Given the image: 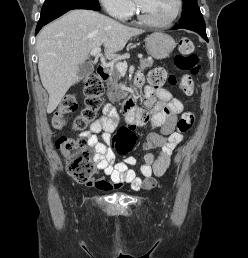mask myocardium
Returning <instances> with one entry per match:
<instances>
[{
    "label": "myocardium",
    "instance_id": "f54148a6",
    "mask_svg": "<svg viewBox=\"0 0 248 258\" xmlns=\"http://www.w3.org/2000/svg\"><path fill=\"white\" fill-rule=\"evenodd\" d=\"M182 8H183V1L177 0V8L174 15L168 21L156 22L146 17L140 5L138 4V1L134 0V9L138 20L147 26L155 27V28H165V27L171 26L180 16L182 12Z\"/></svg>",
    "mask_w": 248,
    "mask_h": 258
}]
</instances>
